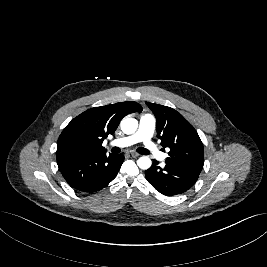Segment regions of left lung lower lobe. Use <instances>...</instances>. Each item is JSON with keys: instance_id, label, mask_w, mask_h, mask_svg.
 <instances>
[{"instance_id": "0a47b994", "label": "left lung lower lobe", "mask_w": 267, "mask_h": 267, "mask_svg": "<svg viewBox=\"0 0 267 267\" xmlns=\"http://www.w3.org/2000/svg\"><path fill=\"white\" fill-rule=\"evenodd\" d=\"M147 181L160 193L168 196L181 194L190 189L199 174L190 170L166 164L160 167L156 160L145 172Z\"/></svg>"}]
</instances>
